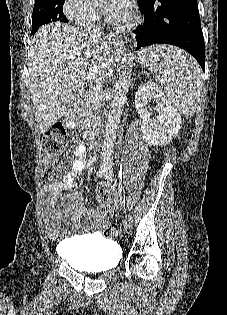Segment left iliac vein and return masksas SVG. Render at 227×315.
<instances>
[{
    "instance_id": "obj_1",
    "label": "left iliac vein",
    "mask_w": 227,
    "mask_h": 315,
    "mask_svg": "<svg viewBox=\"0 0 227 315\" xmlns=\"http://www.w3.org/2000/svg\"><path fill=\"white\" fill-rule=\"evenodd\" d=\"M132 224V216L131 215H128L125 220H124V228L127 230L130 228Z\"/></svg>"
}]
</instances>
